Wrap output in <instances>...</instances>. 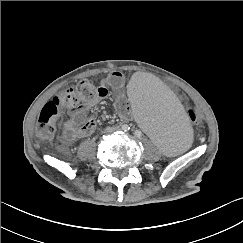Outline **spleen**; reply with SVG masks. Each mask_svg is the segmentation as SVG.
<instances>
[{
	"mask_svg": "<svg viewBox=\"0 0 243 243\" xmlns=\"http://www.w3.org/2000/svg\"><path fill=\"white\" fill-rule=\"evenodd\" d=\"M128 100L134 122L159 151L178 155L189 148L193 127L162 78L154 74L138 76L129 86Z\"/></svg>",
	"mask_w": 243,
	"mask_h": 243,
	"instance_id": "3e777b00",
	"label": "spleen"
}]
</instances>
